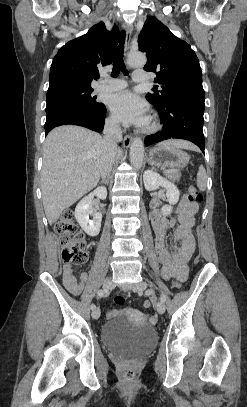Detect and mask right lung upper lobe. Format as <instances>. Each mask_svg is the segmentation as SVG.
I'll use <instances>...</instances> for the list:
<instances>
[{
    "instance_id": "obj_1",
    "label": "right lung upper lobe",
    "mask_w": 247,
    "mask_h": 407,
    "mask_svg": "<svg viewBox=\"0 0 247 407\" xmlns=\"http://www.w3.org/2000/svg\"><path fill=\"white\" fill-rule=\"evenodd\" d=\"M119 30L111 31L100 22L88 32L65 44L54 57L49 76V90L61 87H91L99 77L98 68L113 60Z\"/></svg>"
}]
</instances>
